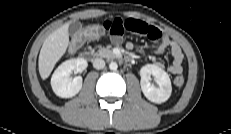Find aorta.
Segmentation results:
<instances>
[{
  "label": "aorta",
  "instance_id": "obj_1",
  "mask_svg": "<svg viewBox=\"0 0 231 134\" xmlns=\"http://www.w3.org/2000/svg\"><path fill=\"white\" fill-rule=\"evenodd\" d=\"M109 68H110V70L115 71V70H117L118 65H117L116 62H111V63L109 64Z\"/></svg>",
  "mask_w": 231,
  "mask_h": 134
}]
</instances>
